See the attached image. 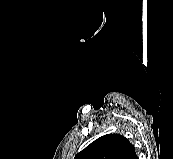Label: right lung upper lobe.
Returning <instances> with one entry per match:
<instances>
[{
    "label": "right lung upper lobe",
    "mask_w": 173,
    "mask_h": 159,
    "mask_svg": "<svg viewBox=\"0 0 173 159\" xmlns=\"http://www.w3.org/2000/svg\"><path fill=\"white\" fill-rule=\"evenodd\" d=\"M74 159H138L134 146L120 134L104 135L84 150Z\"/></svg>",
    "instance_id": "right-lung-upper-lobe-1"
}]
</instances>
